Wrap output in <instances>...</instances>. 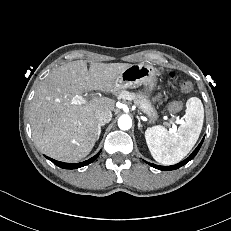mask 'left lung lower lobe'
<instances>
[{"label": "left lung lower lobe", "mask_w": 231, "mask_h": 231, "mask_svg": "<svg viewBox=\"0 0 231 231\" xmlns=\"http://www.w3.org/2000/svg\"><path fill=\"white\" fill-rule=\"evenodd\" d=\"M203 140L204 138L202 139L201 143L197 146V148L192 152V154L187 158L185 159L184 161L178 163V164H175L173 166H159V165H155V164H152V163H148L150 166L156 168V169H159V170H175V169H178L180 168L181 166L185 165L186 163H188L190 160H192L197 152L199 151L202 143H203Z\"/></svg>", "instance_id": "1"}]
</instances>
